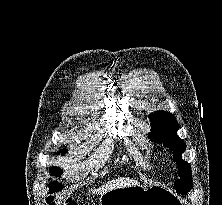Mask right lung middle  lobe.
<instances>
[{
	"instance_id": "1",
	"label": "right lung middle lobe",
	"mask_w": 222,
	"mask_h": 205,
	"mask_svg": "<svg viewBox=\"0 0 222 205\" xmlns=\"http://www.w3.org/2000/svg\"><path fill=\"white\" fill-rule=\"evenodd\" d=\"M66 152V150H61V153H65ZM51 173H53L55 176H58V174H61L62 173V170L60 169V168H55V167H53V168H51ZM51 185H58L57 183H52ZM59 186L60 187H62V185L61 184H59Z\"/></svg>"
}]
</instances>
